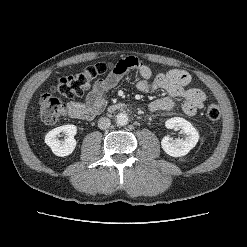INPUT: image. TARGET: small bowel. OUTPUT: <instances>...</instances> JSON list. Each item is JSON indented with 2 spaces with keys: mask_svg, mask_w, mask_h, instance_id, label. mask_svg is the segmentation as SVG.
Instances as JSON below:
<instances>
[{
  "mask_svg": "<svg viewBox=\"0 0 247 247\" xmlns=\"http://www.w3.org/2000/svg\"><path fill=\"white\" fill-rule=\"evenodd\" d=\"M121 61L130 64L126 70L112 71L105 79L94 83L85 101L74 100L67 104L70 117L90 120L99 114L106 105L107 93L118 85L128 69H136L139 73V91L150 93L163 90L167 93V96L148 103L150 112H169L181 106L185 114L195 116L202 109L205 94L200 89L188 87L191 76L186 71L171 69L153 76L151 68L135 57H127Z\"/></svg>",
  "mask_w": 247,
  "mask_h": 247,
  "instance_id": "1",
  "label": "small bowel"
}]
</instances>
